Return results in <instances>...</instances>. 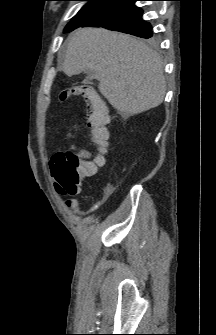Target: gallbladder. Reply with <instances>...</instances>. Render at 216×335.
<instances>
[{"instance_id":"obj_1","label":"gallbladder","mask_w":216,"mask_h":335,"mask_svg":"<svg viewBox=\"0 0 216 335\" xmlns=\"http://www.w3.org/2000/svg\"><path fill=\"white\" fill-rule=\"evenodd\" d=\"M89 73V72H88ZM92 78H96L95 77V74H93V73H89L88 75H87V79H92Z\"/></svg>"}]
</instances>
